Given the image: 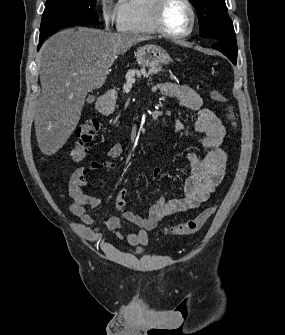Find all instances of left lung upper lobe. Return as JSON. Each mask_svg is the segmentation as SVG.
Here are the masks:
<instances>
[{"label": "left lung upper lobe", "mask_w": 285, "mask_h": 335, "mask_svg": "<svg viewBox=\"0 0 285 335\" xmlns=\"http://www.w3.org/2000/svg\"><path fill=\"white\" fill-rule=\"evenodd\" d=\"M195 6L200 35L215 41H234L233 23L228 16L225 0H190Z\"/></svg>", "instance_id": "5c2ea615"}]
</instances>
